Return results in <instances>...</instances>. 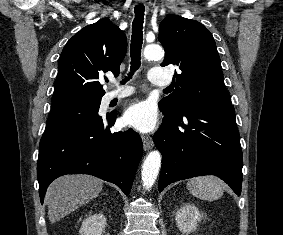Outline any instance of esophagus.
Segmentation results:
<instances>
[{"instance_id":"esophagus-1","label":"esophagus","mask_w":283,"mask_h":235,"mask_svg":"<svg viewBox=\"0 0 283 235\" xmlns=\"http://www.w3.org/2000/svg\"><path fill=\"white\" fill-rule=\"evenodd\" d=\"M137 1L138 3L141 2V0H137ZM142 141H143V148L145 151L152 149L154 142L151 136H147V135L143 136Z\"/></svg>"}]
</instances>
